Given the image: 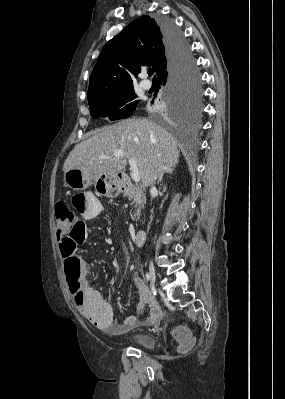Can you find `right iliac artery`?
Listing matches in <instances>:
<instances>
[{
	"instance_id": "obj_1",
	"label": "right iliac artery",
	"mask_w": 285,
	"mask_h": 399,
	"mask_svg": "<svg viewBox=\"0 0 285 399\" xmlns=\"http://www.w3.org/2000/svg\"><path fill=\"white\" fill-rule=\"evenodd\" d=\"M149 279H150V278H149V274L146 273V280L149 281Z\"/></svg>"
}]
</instances>
